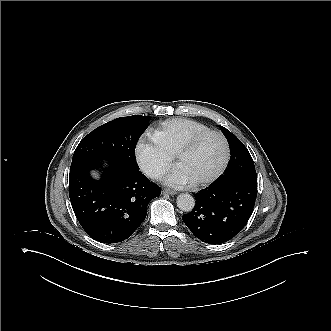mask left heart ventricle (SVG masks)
<instances>
[{
	"label": "left heart ventricle",
	"mask_w": 331,
	"mask_h": 331,
	"mask_svg": "<svg viewBox=\"0 0 331 331\" xmlns=\"http://www.w3.org/2000/svg\"><path fill=\"white\" fill-rule=\"evenodd\" d=\"M223 154L221 140L217 136L211 135L201 140L184 155L180 167L193 180L207 178L218 169L222 162Z\"/></svg>",
	"instance_id": "obj_1"
}]
</instances>
